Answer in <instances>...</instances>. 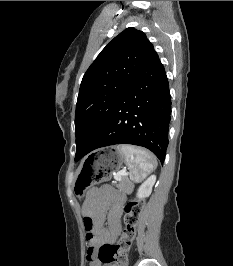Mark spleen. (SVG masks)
Instances as JSON below:
<instances>
[{"instance_id":"spleen-1","label":"spleen","mask_w":233,"mask_h":266,"mask_svg":"<svg viewBox=\"0 0 233 266\" xmlns=\"http://www.w3.org/2000/svg\"><path fill=\"white\" fill-rule=\"evenodd\" d=\"M123 153L125 163L129 169V177L132 182L142 181L157 167L155 157L148 151L132 145L118 146Z\"/></svg>"}]
</instances>
